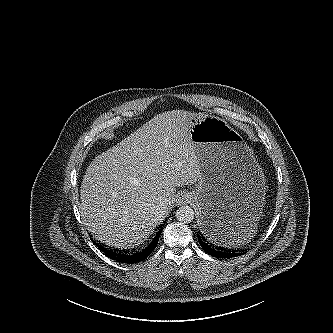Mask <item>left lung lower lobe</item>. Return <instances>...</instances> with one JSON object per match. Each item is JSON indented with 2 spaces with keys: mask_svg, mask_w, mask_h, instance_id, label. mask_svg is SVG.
Instances as JSON below:
<instances>
[{
  "mask_svg": "<svg viewBox=\"0 0 333 333\" xmlns=\"http://www.w3.org/2000/svg\"><path fill=\"white\" fill-rule=\"evenodd\" d=\"M232 230L226 225L223 218L215 216L204 226L202 233H197L198 241L205 252L217 258H230L239 256L238 250L218 246L221 240L225 239L227 232Z\"/></svg>",
  "mask_w": 333,
  "mask_h": 333,
  "instance_id": "0a47b994",
  "label": "left lung lower lobe"
}]
</instances>
